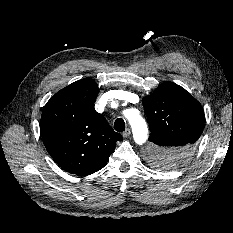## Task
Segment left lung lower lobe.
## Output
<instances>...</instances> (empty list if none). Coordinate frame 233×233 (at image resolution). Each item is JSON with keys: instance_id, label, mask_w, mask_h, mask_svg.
I'll use <instances>...</instances> for the list:
<instances>
[{"instance_id": "1", "label": "left lung lower lobe", "mask_w": 233, "mask_h": 233, "mask_svg": "<svg viewBox=\"0 0 233 233\" xmlns=\"http://www.w3.org/2000/svg\"><path fill=\"white\" fill-rule=\"evenodd\" d=\"M173 141H163L164 144H171Z\"/></svg>"}]
</instances>
